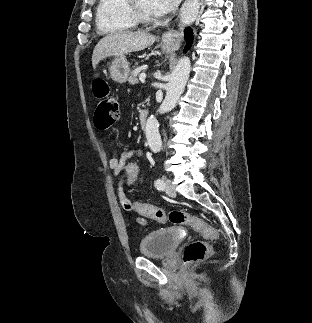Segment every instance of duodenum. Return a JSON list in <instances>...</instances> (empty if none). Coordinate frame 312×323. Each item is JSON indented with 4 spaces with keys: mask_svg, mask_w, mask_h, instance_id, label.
<instances>
[{
    "mask_svg": "<svg viewBox=\"0 0 312 323\" xmlns=\"http://www.w3.org/2000/svg\"><path fill=\"white\" fill-rule=\"evenodd\" d=\"M147 119H148V111L147 110L140 111L138 115V122L142 129L146 128Z\"/></svg>",
    "mask_w": 312,
    "mask_h": 323,
    "instance_id": "410a0bca",
    "label": "duodenum"
}]
</instances>
